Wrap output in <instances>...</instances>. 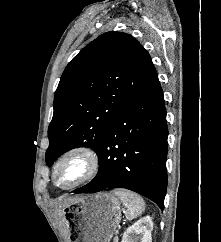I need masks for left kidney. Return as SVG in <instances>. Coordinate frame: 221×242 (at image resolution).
<instances>
[{"instance_id":"obj_1","label":"left kidney","mask_w":221,"mask_h":242,"mask_svg":"<svg viewBox=\"0 0 221 242\" xmlns=\"http://www.w3.org/2000/svg\"><path fill=\"white\" fill-rule=\"evenodd\" d=\"M152 229V218L143 217L126 229L121 242H152Z\"/></svg>"}]
</instances>
